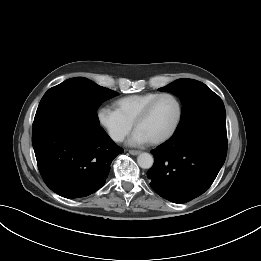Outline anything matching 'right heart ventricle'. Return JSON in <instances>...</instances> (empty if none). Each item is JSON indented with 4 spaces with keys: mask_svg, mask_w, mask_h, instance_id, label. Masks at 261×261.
Segmentation results:
<instances>
[{
    "mask_svg": "<svg viewBox=\"0 0 261 261\" xmlns=\"http://www.w3.org/2000/svg\"><path fill=\"white\" fill-rule=\"evenodd\" d=\"M158 94L157 92H149L128 95L117 99L113 106L124 119L133 124L141 110Z\"/></svg>",
    "mask_w": 261,
    "mask_h": 261,
    "instance_id": "1",
    "label": "right heart ventricle"
}]
</instances>
